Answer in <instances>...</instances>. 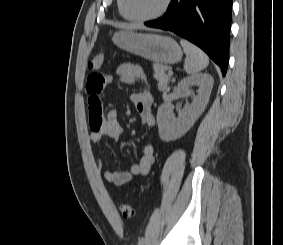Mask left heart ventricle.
<instances>
[{"mask_svg": "<svg viewBox=\"0 0 283 245\" xmlns=\"http://www.w3.org/2000/svg\"><path fill=\"white\" fill-rule=\"evenodd\" d=\"M164 0H126V8L129 15L134 17H146L156 13Z\"/></svg>", "mask_w": 283, "mask_h": 245, "instance_id": "obj_1", "label": "left heart ventricle"}]
</instances>
